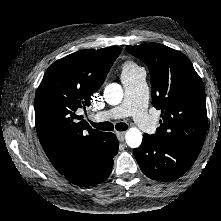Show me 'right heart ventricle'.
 <instances>
[{"label": "right heart ventricle", "instance_id": "right-heart-ventricle-1", "mask_svg": "<svg viewBox=\"0 0 221 221\" xmlns=\"http://www.w3.org/2000/svg\"><path fill=\"white\" fill-rule=\"evenodd\" d=\"M139 69L141 68L136 63H134L133 61H127L122 66L121 76H129Z\"/></svg>", "mask_w": 221, "mask_h": 221}]
</instances>
